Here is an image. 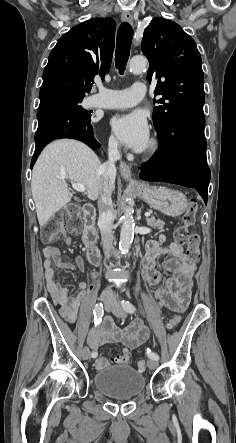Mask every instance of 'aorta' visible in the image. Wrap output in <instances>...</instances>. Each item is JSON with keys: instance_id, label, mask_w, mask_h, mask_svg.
I'll return each mask as SVG.
<instances>
[{"instance_id": "obj_1", "label": "aorta", "mask_w": 236, "mask_h": 443, "mask_svg": "<svg viewBox=\"0 0 236 443\" xmlns=\"http://www.w3.org/2000/svg\"><path fill=\"white\" fill-rule=\"evenodd\" d=\"M147 66V59L143 56L133 57L130 61L129 68L134 74L141 73ZM123 224L120 232L119 248L122 253L128 252L134 237V220L131 214V208L126 207Z\"/></svg>"}]
</instances>
